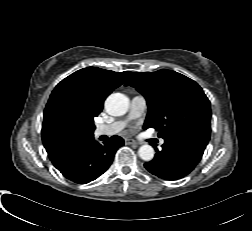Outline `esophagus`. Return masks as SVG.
<instances>
[{"label":"esophagus","instance_id":"esophagus-1","mask_svg":"<svg viewBox=\"0 0 252 231\" xmlns=\"http://www.w3.org/2000/svg\"><path fill=\"white\" fill-rule=\"evenodd\" d=\"M125 143L127 145H137V142L135 140H133V139H126Z\"/></svg>","mask_w":252,"mask_h":231}]
</instances>
